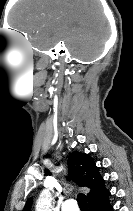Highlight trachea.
<instances>
[{
    "instance_id": "3493384b",
    "label": "trachea",
    "mask_w": 133,
    "mask_h": 211,
    "mask_svg": "<svg viewBox=\"0 0 133 211\" xmlns=\"http://www.w3.org/2000/svg\"><path fill=\"white\" fill-rule=\"evenodd\" d=\"M77 201H78V205L81 209H88L86 197L84 194H78Z\"/></svg>"
}]
</instances>
